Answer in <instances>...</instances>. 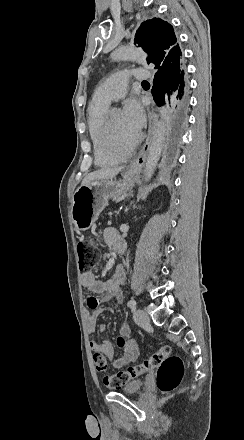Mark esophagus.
<instances>
[{
  "label": "esophagus",
  "instance_id": "1",
  "mask_svg": "<svg viewBox=\"0 0 244 440\" xmlns=\"http://www.w3.org/2000/svg\"><path fill=\"white\" fill-rule=\"evenodd\" d=\"M156 125L155 104H153L148 111V135L137 157L128 165L129 173H140L147 157L148 150L153 138L154 128Z\"/></svg>",
  "mask_w": 244,
  "mask_h": 440
}]
</instances>
